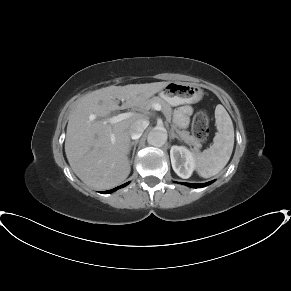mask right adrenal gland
Listing matches in <instances>:
<instances>
[{"instance_id": "2a0ac1e0", "label": "right adrenal gland", "mask_w": 291, "mask_h": 291, "mask_svg": "<svg viewBox=\"0 0 291 291\" xmlns=\"http://www.w3.org/2000/svg\"><path fill=\"white\" fill-rule=\"evenodd\" d=\"M137 143H138V140H135V141L131 142V144H130V150H131V149H132V147H133V152H132V159H133V157H134V154H135V151H136V146H137Z\"/></svg>"}]
</instances>
